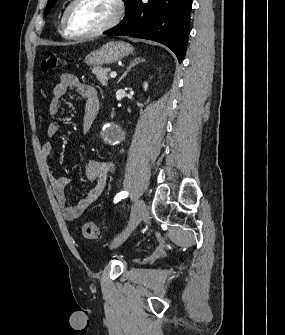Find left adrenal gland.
Listing matches in <instances>:
<instances>
[{"instance_id":"obj_1","label":"left adrenal gland","mask_w":285,"mask_h":335,"mask_svg":"<svg viewBox=\"0 0 285 335\" xmlns=\"http://www.w3.org/2000/svg\"><path fill=\"white\" fill-rule=\"evenodd\" d=\"M140 62H145L144 58H134V60H132V62H130V66H128L126 72H124V74H122L121 78H119L117 84H119V82H121V80H123V78H125V76H127L128 72H130L131 68H134V66H136V64H140Z\"/></svg>"}]
</instances>
